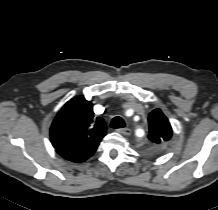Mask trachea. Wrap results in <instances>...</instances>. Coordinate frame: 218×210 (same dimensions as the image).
<instances>
[{
    "label": "trachea",
    "mask_w": 218,
    "mask_h": 210,
    "mask_svg": "<svg viewBox=\"0 0 218 210\" xmlns=\"http://www.w3.org/2000/svg\"><path fill=\"white\" fill-rule=\"evenodd\" d=\"M110 126L114 129L123 128L125 127V122L121 117L116 116L112 119Z\"/></svg>",
    "instance_id": "trachea-1"
}]
</instances>
